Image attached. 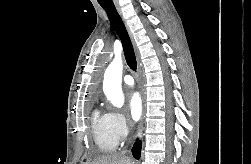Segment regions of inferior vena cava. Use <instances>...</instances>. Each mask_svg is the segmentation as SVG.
<instances>
[{
    "label": "inferior vena cava",
    "mask_w": 251,
    "mask_h": 164,
    "mask_svg": "<svg viewBox=\"0 0 251 164\" xmlns=\"http://www.w3.org/2000/svg\"><path fill=\"white\" fill-rule=\"evenodd\" d=\"M125 153H126V151H123V152H122V154H125Z\"/></svg>",
    "instance_id": "1"
}]
</instances>
